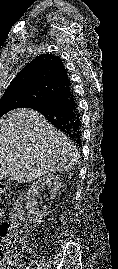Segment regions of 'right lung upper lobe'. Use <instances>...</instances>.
I'll use <instances>...</instances> for the list:
<instances>
[{"label": "right lung upper lobe", "mask_w": 118, "mask_h": 269, "mask_svg": "<svg viewBox=\"0 0 118 269\" xmlns=\"http://www.w3.org/2000/svg\"><path fill=\"white\" fill-rule=\"evenodd\" d=\"M70 85L62 59L47 53L37 56L28 63L12 80L3 95L13 93L29 95L32 98L27 103L29 106Z\"/></svg>", "instance_id": "obj_1"}]
</instances>
